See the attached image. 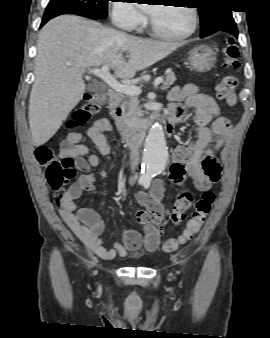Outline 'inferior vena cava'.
Masks as SVG:
<instances>
[{
    "mask_svg": "<svg viewBox=\"0 0 270 338\" xmlns=\"http://www.w3.org/2000/svg\"><path fill=\"white\" fill-rule=\"evenodd\" d=\"M130 161L131 169L134 171L139 163V150L135 140L130 144Z\"/></svg>",
    "mask_w": 270,
    "mask_h": 338,
    "instance_id": "1",
    "label": "inferior vena cava"
}]
</instances>
